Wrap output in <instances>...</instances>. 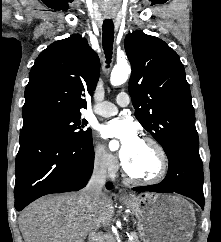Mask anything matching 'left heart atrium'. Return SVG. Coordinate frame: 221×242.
Instances as JSON below:
<instances>
[{"label": "left heart atrium", "mask_w": 221, "mask_h": 242, "mask_svg": "<svg viewBox=\"0 0 221 242\" xmlns=\"http://www.w3.org/2000/svg\"><path fill=\"white\" fill-rule=\"evenodd\" d=\"M100 135L105 140H115L118 151L125 162L141 142L136 126L129 120L114 119L100 127Z\"/></svg>", "instance_id": "obj_1"}]
</instances>
